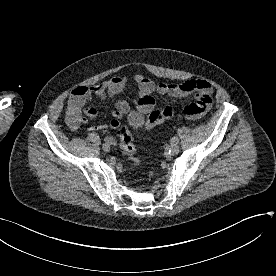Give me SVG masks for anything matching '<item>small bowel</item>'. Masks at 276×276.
<instances>
[{
    "mask_svg": "<svg viewBox=\"0 0 276 276\" xmlns=\"http://www.w3.org/2000/svg\"><path fill=\"white\" fill-rule=\"evenodd\" d=\"M134 82L138 87V97L134 101L137 113L145 116V122L149 114L157 116L155 125L170 119L175 112L171 107L157 108L153 92L160 95H169L173 97H185L192 93L196 94L195 102L184 107L182 113L189 119H196L203 116L212 105V85L202 79H189L182 83L160 82L155 84L147 77L137 74L134 76ZM127 78L125 76H114L102 83L86 87L75 88L67 102L68 123L72 128H78L86 122V118H95L98 110L87 106V102L92 98L105 100L119 96L115 103V110L111 112L110 126L118 128L123 116L130 112L131 100L126 93ZM190 108L196 112H188ZM146 125L149 126L146 122Z\"/></svg>",
    "mask_w": 276,
    "mask_h": 276,
    "instance_id": "1",
    "label": "small bowel"
}]
</instances>
